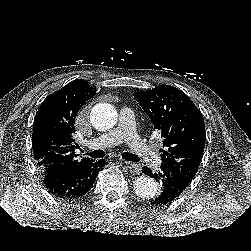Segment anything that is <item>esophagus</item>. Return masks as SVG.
<instances>
[{
	"instance_id": "1",
	"label": "esophagus",
	"mask_w": 251,
	"mask_h": 251,
	"mask_svg": "<svg viewBox=\"0 0 251 251\" xmlns=\"http://www.w3.org/2000/svg\"><path fill=\"white\" fill-rule=\"evenodd\" d=\"M120 161H124L121 157L116 156ZM129 171L133 174H138L141 171V165L134 162L125 161Z\"/></svg>"
}]
</instances>
